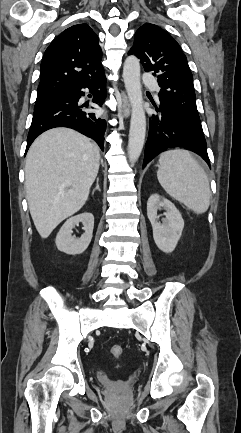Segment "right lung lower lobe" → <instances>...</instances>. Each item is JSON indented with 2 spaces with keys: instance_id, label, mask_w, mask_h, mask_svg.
Returning a JSON list of instances; mask_svg holds the SVG:
<instances>
[{
  "instance_id": "1",
  "label": "right lung lower lobe",
  "mask_w": 241,
  "mask_h": 433,
  "mask_svg": "<svg viewBox=\"0 0 241 433\" xmlns=\"http://www.w3.org/2000/svg\"><path fill=\"white\" fill-rule=\"evenodd\" d=\"M105 75L85 84H73L63 88L57 96L44 106L34 110L31 127L27 138V147L44 131L55 127H68L93 138L101 149L104 144L106 120L99 118L93 112H88L78 105L80 97L84 96V88L93 94V102L102 105L106 94L104 86ZM100 88V90H99Z\"/></svg>"
}]
</instances>
